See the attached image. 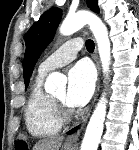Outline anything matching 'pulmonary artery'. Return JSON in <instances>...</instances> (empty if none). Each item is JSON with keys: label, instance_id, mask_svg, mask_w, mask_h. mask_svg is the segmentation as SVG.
I'll return each instance as SVG.
<instances>
[{"label": "pulmonary artery", "instance_id": "obj_1", "mask_svg": "<svg viewBox=\"0 0 139 150\" xmlns=\"http://www.w3.org/2000/svg\"><path fill=\"white\" fill-rule=\"evenodd\" d=\"M81 48L80 38L67 41L40 64L38 75L45 76L48 72L70 63L76 58Z\"/></svg>", "mask_w": 139, "mask_h": 150}]
</instances>
